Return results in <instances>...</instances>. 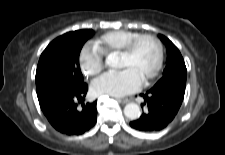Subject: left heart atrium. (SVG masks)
<instances>
[{
    "label": "left heart atrium",
    "instance_id": "39dd6f15",
    "mask_svg": "<svg viewBox=\"0 0 225 155\" xmlns=\"http://www.w3.org/2000/svg\"><path fill=\"white\" fill-rule=\"evenodd\" d=\"M143 83L142 78L132 69L108 72L97 78L91 85L95 96L121 97L137 91Z\"/></svg>",
    "mask_w": 225,
    "mask_h": 155
}]
</instances>
